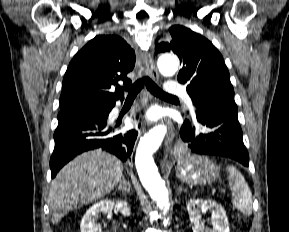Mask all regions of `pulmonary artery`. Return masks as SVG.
<instances>
[{"label": "pulmonary artery", "mask_w": 289, "mask_h": 232, "mask_svg": "<svg viewBox=\"0 0 289 232\" xmlns=\"http://www.w3.org/2000/svg\"><path fill=\"white\" fill-rule=\"evenodd\" d=\"M165 92L168 94H178V95H182L186 101L188 102V104L190 106H192V102L191 99L189 98L187 92H186V88L181 85L180 83L176 82V81H168L165 84Z\"/></svg>", "instance_id": "1"}]
</instances>
